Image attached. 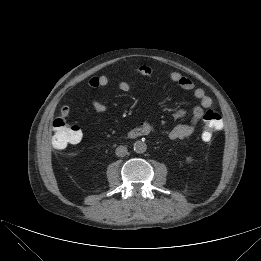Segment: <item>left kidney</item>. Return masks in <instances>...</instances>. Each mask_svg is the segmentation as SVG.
<instances>
[{
  "label": "left kidney",
  "mask_w": 261,
  "mask_h": 261,
  "mask_svg": "<svg viewBox=\"0 0 261 261\" xmlns=\"http://www.w3.org/2000/svg\"><path fill=\"white\" fill-rule=\"evenodd\" d=\"M186 161H187L188 163H190V162H192V161H193V159H192V157H191V156H189V157H187V158H186Z\"/></svg>",
  "instance_id": "1"
}]
</instances>
